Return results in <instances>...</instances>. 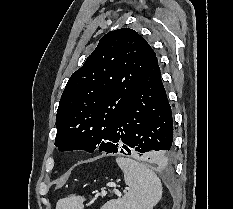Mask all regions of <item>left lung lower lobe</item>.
<instances>
[{"instance_id": "left-lung-lower-lobe-1", "label": "left lung lower lobe", "mask_w": 233, "mask_h": 209, "mask_svg": "<svg viewBox=\"0 0 233 209\" xmlns=\"http://www.w3.org/2000/svg\"><path fill=\"white\" fill-rule=\"evenodd\" d=\"M172 140L171 107L156 57L111 124L101 151L134 154L147 163L161 165L171 157Z\"/></svg>"}]
</instances>
